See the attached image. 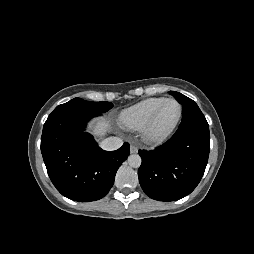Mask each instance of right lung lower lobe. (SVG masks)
<instances>
[{
	"label": "right lung lower lobe",
	"instance_id": "obj_1",
	"mask_svg": "<svg viewBox=\"0 0 254 254\" xmlns=\"http://www.w3.org/2000/svg\"><path fill=\"white\" fill-rule=\"evenodd\" d=\"M100 114L73 108H55L47 118L41 152L48 175L65 197L90 202L103 198L115 174L129 155V144L104 151L84 132L86 123Z\"/></svg>",
	"mask_w": 254,
	"mask_h": 254
}]
</instances>
